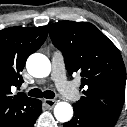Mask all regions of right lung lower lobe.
I'll use <instances>...</instances> for the list:
<instances>
[{"label": "right lung lower lobe", "instance_id": "obj_1", "mask_svg": "<svg viewBox=\"0 0 127 127\" xmlns=\"http://www.w3.org/2000/svg\"><path fill=\"white\" fill-rule=\"evenodd\" d=\"M37 106H38V109H37L36 118L32 121V123L29 125V127H33V126H34V123H35L37 117H38V116L40 115V113H41L42 108H41V101H40V100L37 101Z\"/></svg>", "mask_w": 127, "mask_h": 127}]
</instances>
